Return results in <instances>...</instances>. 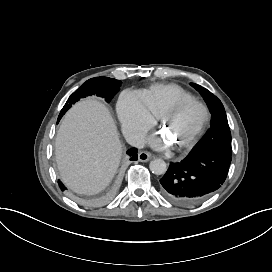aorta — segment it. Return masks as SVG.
Wrapping results in <instances>:
<instances>
[{"label":"aorta","mask_w":272,"mask_h":272,"mask_svg":"<svg viewBox=\"0 0 272 272\" xmlns=\"http://www.w3.org/2000/svg\"><path fill=\"white\" fill-rule=\"evenodd\" d=\"M149 168L152 173L162 175L167 171V165L163 159H154L150 162Z\"/></svg>","instance_id":"aorta-1"}]
</instances>
